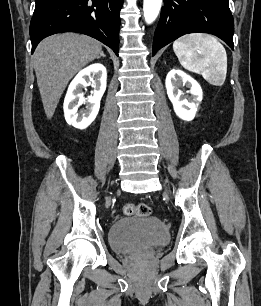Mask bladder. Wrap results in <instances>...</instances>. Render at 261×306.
I'll list each match as a JSON object with an SVG mask.
<instances>
[{"instance_id": "31cf9c89", "label": "bladder", "mask_w": 261, "mask_h": 306, "mask_svg": "<svg viewBox=\"0 0 261 306\" xmlns=\"http://www.w3.org/2000/svg\"><path fill=\"white\" fill-rule=\"evenodd\" d=\"M109 244L116 253L138 248L159 247L168 243V227L154 216H129L117 219L110 227Z\"/></svg>"}]
</instances>
